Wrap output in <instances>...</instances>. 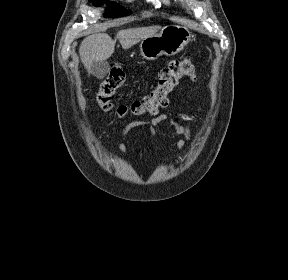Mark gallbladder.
Wrapping results in <instances>:
<instances>
[{
	"label": "gallbladder",
	"mask_w": 288,
	"mask_h": 280,
	"mask_svg": "<svg viewBox=\"0 0 288 280\" xmlns=\"http://www.w3.org/2000/svg\"><path fill=\"white\" fill-rule=\"evenodd\" d=\"M89 71L98 79H103L109 73L110 65L107 61L93 62Z\"/></svg>",
	"instance_id": "gallbladder-1"
}]
</instances>
